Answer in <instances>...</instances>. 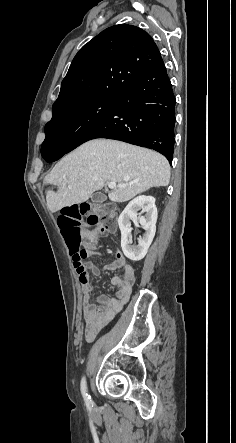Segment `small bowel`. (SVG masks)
<instances>
[{
  "mask_svg": "<svg viewBox=\"0 0 236 443\" xmlns=\"http://www.w3.org/2000/svg\"><path fill=\"white\" fill-rule=\"evenodd\" d=\"M90 237L86 245L90 248L91 255H99L96 248L97 237L99 232L92 230L88 232ZM81 290L84 294L82 303V313L85 322L84 336L90 342L98 333L107 325L113 316L121 310L125 302L128 300L132 285L135 281V270L125 257L120 253H116L113 261L105 266L109 271H121L120 275H114L111 280V286L115 289V295L112 297L106 295L93 296L95 287L90 281V274L100 276L102 270L93 262L84 263L83 267H74Z\"/></svg>",
  "mask_w": 236,
  "mask_h": 443,
  "instance_id": "c3829d8e",
  "label": "small bowel"
}]
</instances>
